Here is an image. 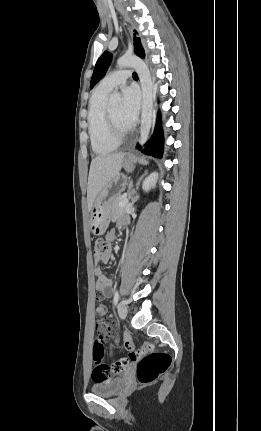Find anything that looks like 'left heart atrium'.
Listing matches in <instances>:
<instances>
[{"mask_svg": "<svg viewBox=\"0 0 261 431\" xmlns=\"http://www.w3.org/2000/svg\"><path fill=\"white\" fill-rule=\"evenodd\" d=\"M121 120L127 128H131L136 120L140 108V97L134 87H125L122 90V104L120 107Z\"/></svg>", "mask_w": 261, "mask_h": 431, "instance_id": "39dd6f15", "label": "left heart atrium"}]
</instances>
